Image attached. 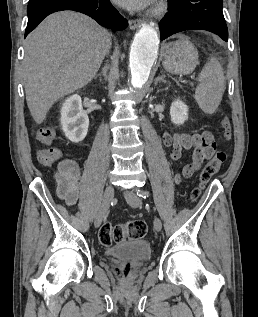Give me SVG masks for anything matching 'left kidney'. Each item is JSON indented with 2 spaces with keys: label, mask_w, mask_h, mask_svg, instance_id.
Listing matches in <instances>:
<instances>
[{
  "label": "left kidney",
  "mask_w": 258,
  "mask_h": 317,
  "mask_svg": "<svg viewBox=\"0 0 258 317\" xmlns=\"http://www.w3.org/2000/svg\"><path fill=\"white\" fill-rule=\"evenodd\" d=\"M171 120L174 124H184L185 120L188 118V106L180 100V98H175L171 102L170 106Z\"/></svg>",
  "instance_id": "5707ae66"
}]
</instances>
